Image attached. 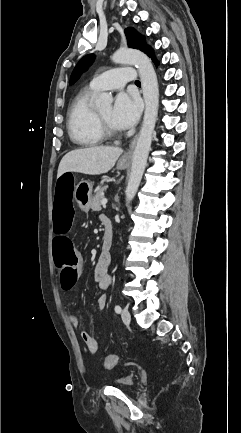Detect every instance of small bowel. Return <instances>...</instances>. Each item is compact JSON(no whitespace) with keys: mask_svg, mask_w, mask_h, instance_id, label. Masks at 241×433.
<instances>
[{"mask_svg":"<svg viewBox=\"0 0 241 433\" xmlns=\"http://www.w3.org/2000/svg\"><path fill=\"white\" fill-rule=\"evenodd\" d=\"M70 172V171H68ZM111 264V259L108 256L100 255L94 268V280L97 286L101 290L107 289L112 284V278L109 275V267ZM107 305L106 295H101L97 300V307L100 311L104 310ZM69 321L72 326H79V318L76 315H70ZM80 336L84 343L86 344L88 351L90 353H96L99 349V343L95 337L86 331H81Z\"/></svg>","mask_w":241,"mask_h":433,"instance_id":"c3829d8e","label":"small bowel"}]
</instances>
